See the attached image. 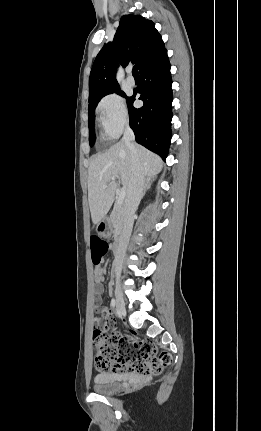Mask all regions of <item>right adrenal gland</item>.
Here are the masks:
<instances>
[{
  "label": "right adrenal gland",
  "mask_w": 261,
  "mask_h": 431,
  "mask_svg": "<svg viewBox=\"0 0 261 431\" xmlns=\"http://www.w3.org/2000/svg\"><path fill=\"white\" fill-rule=\"evenodd\" d=\"M155 176H148L145 180V186L143 191V196L145 195L146 191L149 190L152 186V183L155 181Z\"/></svg>",
  "instance_id": "right-adrenal-gland-1"
}]
</instances>
